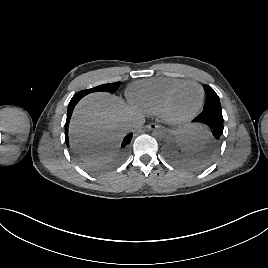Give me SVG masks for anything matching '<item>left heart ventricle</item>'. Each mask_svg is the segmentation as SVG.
Instances as JSON below:
<instances>
[{"label":"left heart ventricle","instance_id":"1","mask_svg":"<svg viewBox=\"0 0 268 268\" xmlns=\"http://www.w3.org/2000/svg\"><path fill=\"white\" fill-rule=\"evenodd\" d=\"M200 91L196 86L181 89L173 98L170 112L175 116H183L192 112L199 103Z\"/></svg>","mask_w":268,"mask_h":268}]
</instances>
